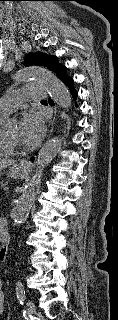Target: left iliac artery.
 <instances>
[{
	"label": "left iliac artery",
	"instance_id": "obj_1",
	"mask_svg": "<svg viewBox=\"0 0 118 320\" xmlns=\"http://www.w3.org/2000/svg\"><path fill=\"white\" fill-rule=\"evenodd\" d=\"M16 294L17 298L20 301V304H23L26 299V293L23 284L20 281L16 283Z\"/></svg>",
	"mask_w": 118,
	"mask_h": 320
}]
</instances>
